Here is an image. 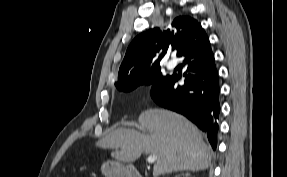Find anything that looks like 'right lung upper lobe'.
Returning <instances> with one entry per match:
<instances>
[{"label": "right lung upper lobe", "instance_id": "right-lung-upper-lobe-1", "mask_svg": "<svg viewBox=\"0 0 287 177\" xmlns=\"http://www.w3.org/2000/svg\"><path fill=\"white\" fill-rule=\"evenodd\" d=\"M203 31L201 24L189 16L175 18L167 27L139 34L129 45L119 69L116 85L133 82L160 67L169 48L180 54L184 45Z\"/></svg>", "mask_w": 287, "mask_h": 177}]
</instances>
